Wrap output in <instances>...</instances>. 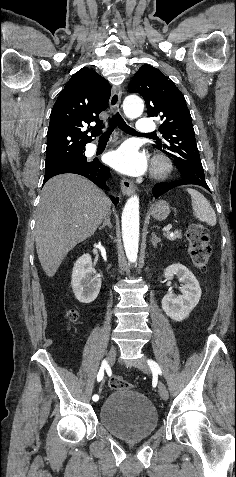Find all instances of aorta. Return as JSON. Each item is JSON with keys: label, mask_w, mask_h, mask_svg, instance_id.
I'll use <instances>...</instances> for the list:
<instances>
[{"label": "aorta", "mask_w": 236, "mask_h": 477, "mask_svg": "<svg viewBox=\"0 0 236 477\" xmlns=\"http://www.w3.org/2000/svg\"><path fill=\"white\" fill-rule=\"evenodd\" d=\"M144 110L142 99L136 95H129L124 99L123 111L126 117L135 119L140 117ZM122 238L125 253L130 262H136L139 245V198L131 196L122 212Z\"/></svg>", "instance_id": "obj_1"}]
</instances>
